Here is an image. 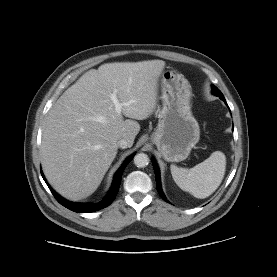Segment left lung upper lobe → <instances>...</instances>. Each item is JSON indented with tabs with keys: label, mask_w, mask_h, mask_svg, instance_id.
Here are the masks:
<instances>
[{
	"label": "left lung upper lobe",
	"mask_w": 277,
	"mask_h": 277,
	"mask_svg": "<svg viewBox=\"0 0 277 277\" xmlns=\"http://www.w3.org/2000/svg\"><path fill=\"white\" fill-rule=\"evenodd\" d=\"M212 89H213V94L218 96L221 100H225L223 94L221 93V91L215 86V85H212Z\"/></svg>",
	"instance_id": "left-lung-upper-lobe-1"
}]
</instances>
